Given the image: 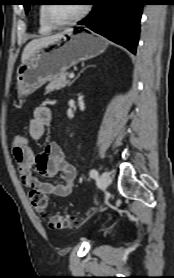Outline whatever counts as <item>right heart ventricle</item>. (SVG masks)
Returning <instances> with one entry per match:
<instances>
[{
    "label": "right heart ventricle",
    "instance_id": "e07e8e85",
    "mask_svg": "<svg viewBox=\"0 0 174 278\" xmlns=\"http://www.w3.org/2000/svg\"><path fill=\"white\" fill-rule=\"evenodd\" d=\"M43 8L44 6L41 5L38 10V24H39V31L43 34L50 33L54 28H52L48 23L45 21L43 16Z\"/></svg>",
    "mask_w": 174,
    "mask_h": 278
}]
</instances>
